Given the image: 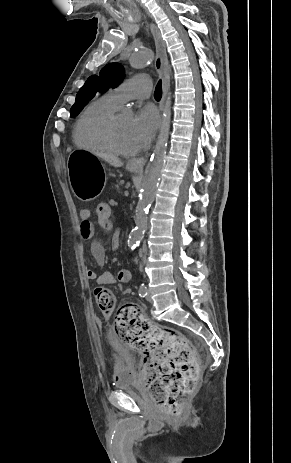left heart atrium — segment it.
Here are the masks:
<instances>
[{"label":"left heart atrium","mask_w":291,"mask_h":463,"mask_svg":"<svg viewBox=\"0 0 291 463\" xmlns=\"http://www.w3.org/2000/svg\"><path fill=\"white\" fill-rule=\"evenodd\" d=\"M158 126L159 115L153 107L147 106L137 112L132 120V131L139 147L150 142Z\"/></svg>","instance_id":"obj_1"}]
</instances>
